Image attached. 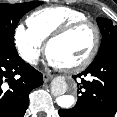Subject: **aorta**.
Wrapping results in <instances>:
<instances>
[{
	"instance_id": "762f6f07",
	"label": "aorta",
	"mask_w": 117,
	"mask_h": 117,
	"mask_svg": "<svg viewBox=\"0 0 117 117\" xmlns=\"http://www.w3.org/2000/svg\"><path fill=\"white\" fill-rule=\"evenodd\" d=\"M68 88L69 84L62 77L55 78L51 85L52 93L57 96V104L64 109L70 108L75 102L74 96L64 95Z\"/></svg>"
}]
</instances>
